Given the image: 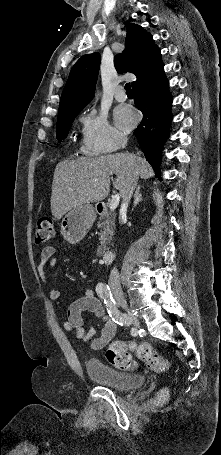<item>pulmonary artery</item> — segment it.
Masks as SVG:
<instances>
[{
	"label": "pulmonary artery",
	"mask_w": 221,
	"mask_h": 455,
	"mask_svg": "<svg viewBox=\"0 0 221 455\" xmlns=\"http://www.w3.org/2000/svg\"><path fill=\"white\" fill-rule=\"evenodd\" d=\"M114 97L118 102H124L127 99V95L122 86H118L114 91Z\"/></svg>",
	"instance_id": "e3ab8cb5"
}]
</instances>
